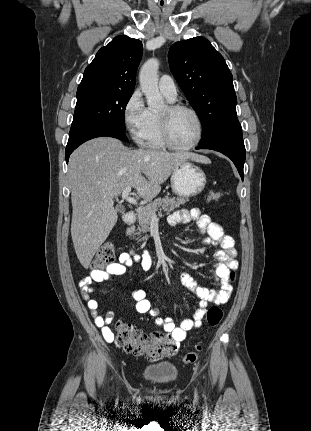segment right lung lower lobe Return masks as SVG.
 I'll return each mask as SVG.
<instances>
[{
	"instance_id": "1",
	"label": "right lung lower lobe",
	"mask_w": 311,
	"mask_h": 431,
	"mask_svg": "<svg viewBox=\"0 0 311 431\" xmlns=\"http://www.w3.org/2000/svg\"><path fill=\"white\" fill-rule=\"evenodd\" d=\"M125 130L118 129L112 126H107L104 124H90L80 128H77L73 131H70V136L68 140V144L66 147V162L68 163V159L70 154L82 143L92 138L108 136L120 139L122 141H128L127 137L124 133Z\"/></svg>"
}]
</instances>
